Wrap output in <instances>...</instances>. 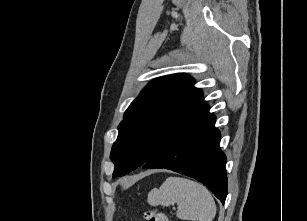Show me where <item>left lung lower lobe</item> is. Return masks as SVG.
<instances>
[{"label":"left lung lower lobe","instance_id":"left-lung-lower-lobe-1","mask_svg":"<svg viewBox=\"0 0 307 221\" xmlns=\"http://www.w3.org/2000/svg\"><path fill=\"white\" fill-rule=\"evenodd\" d=\"M214 123L215 116L207 113L168 142L143 168H166L190 176L206 185L224 203L226 156L219 147L221 135Z\"/></svg>","mask_w":307,"mask_h":221}]
</instances>
